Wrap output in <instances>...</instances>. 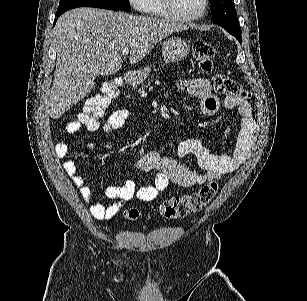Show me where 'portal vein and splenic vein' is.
<instances>
[{
	"label": "portal vein and splenic vein",
	"mask_w": 307,
	"mask_h": 301,
	"mask_svg": "<svg viewBox=\"0 0 307 301\" xmlns=\"http://www.w3.org/2000/svg\"><path fill=\"white\" fill-rule=\"evenodd\" d=\"M121 52L124 56H127V54H129V48H122Z\"/></svg>",
	"instance_id": "portal-vein-and-splenic-vein-1"
}]
</instances>
